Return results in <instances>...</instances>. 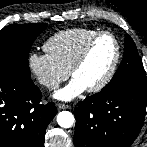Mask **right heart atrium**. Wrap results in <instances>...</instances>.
<instances>
[{
	"mask_svg": "<svg viewBox=\"0 0 147 147\" xmlns=\"http://www.w3.org/2000/svg\"><path fill=\"white\" fill-rule=\"evenodd\" d=\"M28 69L39 85L47 90L56 89L69 76L48 53L31 52L27 58Z\"/></svg>",
	"mask_w": 147,
	"mask_h": 147,
	"instance_id": "d8ad5b80",
	"label": "right heart atrium"
}]
</instances>
